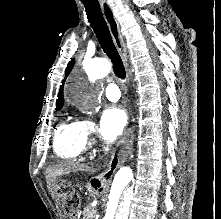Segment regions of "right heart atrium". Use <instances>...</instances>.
<instances>
[{"instance_id":"1","label":"right heart atrium","mask_w":221,"mask_h":219,"mask_svg":"<svg viewBox=\"0 0 221 219\" xmlns=\"http://www.w3.org/2000/svg\"><path fill=\"white\" fill-rule=\"evenodd\" d=\"M83 132V138L85 140V143H87L94 135L95 133V124L88 119H85L80 122Z\"/></svg>"}]
</instances>
